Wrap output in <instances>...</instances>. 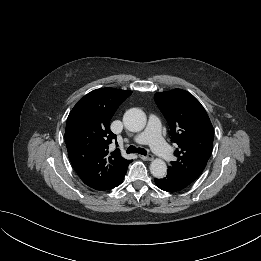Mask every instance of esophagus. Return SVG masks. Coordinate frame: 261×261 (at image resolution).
I'll return each instance as SVG.
<instances>
[{"label": "esophagus", "instance_id": "1", "mask_svg": "<svg viewBox=\"0 0 261 261\" xmlns=\"http://www.w3.org/2000/svg\"><path fill=\"white\" fill-rule=\"evenodd\" d=\"M140 158L145 160V161H151V160H153V155L152 154L140 155Z\"/></svg>", "mask_w": 261, "mask_h": 261}]
</instances>
